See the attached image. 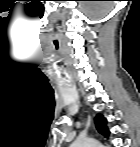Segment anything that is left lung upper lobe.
<instances>
[{
	"mask_svg": "<svg viewBox=\"0 0 140 147\" xmlns=\"http://www.w3.org/2000/svg\"><path fill=\"white\" fill-rule=\"evenodd\" d=\"M106 123H107V121L103 117V115L99 114L96 116V118H95L96 128H97L98 132L104 136L109 135V130L106 126Z\"/></svg>",
	"mask_w": 140,
	"mask_h": 147,
	"instance_id": "5c2ea615",
	"label": "left lung upper lobe"
}]
</instances>
